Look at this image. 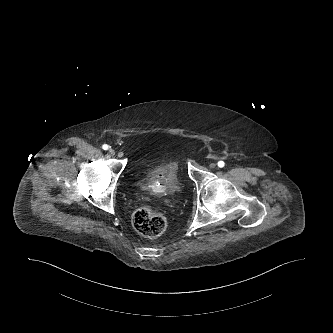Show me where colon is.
<instances>
[{
    "label": "colon",
    "mask_w": 333,
    "mask_h": 333,
    "mask_svg": "<svg viewBox=\"0 0 333 333\" xmlns=\"http://www.w3.org/2000/svg\"><path fill=\"white\" fill-rule=\"evenodd\" d=\"M132 224L141 235L154 238L160 236L167 227L166 217L149 208L138 209L132 217Z\"/></svg>",
    "instance_id": "colon-1"
}]
</instances>
